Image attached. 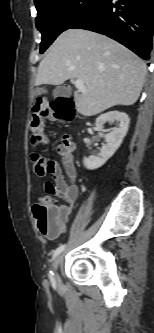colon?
Wrapping results in <instances>:
<instances>
[{
    "label": "colon",
    "mask_w": 154,
    "mask_h": 333,
    "mask_svg": "<svg viewBox=\"0 0 154 333\" xmlns=\"http://www.w3.org/2000/svg\"><path fill=\"white\" fill-rule=\"evenodd\" d=\"M47 115L44 102L37 99L33 105V117L31 129L34 133L33 142L38 144L43 141L42 128L43 117ZM31 168L37 175H45L48 172L47 160L38 153H32L30 156ZM33 215L36 219L40 232L49 237L56 236L64 226V220L67 216L66 210L55 204L50 198L43 197L33 206Z\"/></svg>",
    "instance_id": "colon-1"
}]
</instances>
